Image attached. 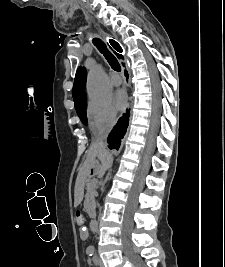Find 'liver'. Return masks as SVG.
<instances>
[{
	"label": "liver",
	"instance_id": "6515ba94",
	"mask_svg": "<svg viewBox=\"0 0 225 267\" xmlns=\"http://www.w3.org/2000/svg\"><path fill=\"white\" fill-rule=\"evenodd\" d=\"M96 157L100 160L101 165H97ZM111 160L112 157L107 152V150L100 147L96 142L90 146L87 158L84 164L80 167L78 178L76 181L75 194H74L75 207H77L83 199L84 182L85 178L89 175L90 170L92 168H95L99 177H101L108 168V165L110 164Z\"/></svg>",
	"mask_w": 225,
	"mask_h": 267
}]
</instances>
